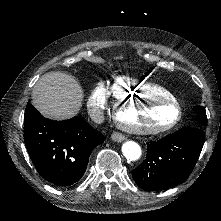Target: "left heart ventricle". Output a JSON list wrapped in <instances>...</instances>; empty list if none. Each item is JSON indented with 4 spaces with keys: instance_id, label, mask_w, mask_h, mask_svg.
<instances>
[{
    "instance_id": "b2bd125f",
    "label": "left heart ventricle",
    "mask_w": 221,
    "mask_h": 221,
    "mask_svg": "<svg viewBox=\"0 0 221 221\" xmlns=\"http://www.w3.org/2000/svg\"><path fill=\"white\" fill-rule=\"evenodd\" d=\"M176 117V108L171 103L150 104L148 107L122 108L119 110L117 118L121 124H137L149 121L156 123L171 122Z\"/></svg>"
}]
</instances>
